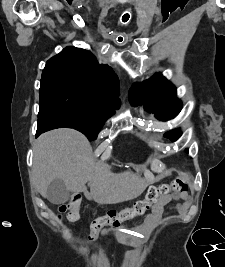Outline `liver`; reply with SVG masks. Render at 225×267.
Masks as SVG:
<instances>
[{"instance_id":"1","label":"liver","mask_w":225,"mask_h":267,"mask_svg":"<svg viewBox=\"0 0 225 267\" xmlns=\"http://www.w3.org/2000/svg\"><path fill=\"white\" fill-rule=\"evenodd\" d=\"M32 176L37 191L47 197V187L61 179L70 192H85L90 183V197L100 204H114L139 195L126 186H116L114 175L92 155L87 138L80 132L61 128L42 134L33 147Z\"/></svg>"}]
</instances>
